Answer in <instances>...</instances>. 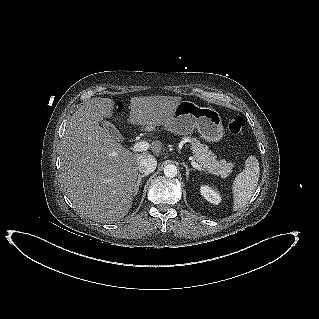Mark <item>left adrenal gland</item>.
I'll return each instance as SVG.
<instances>
[{"mask_svg": "<svg viewBox=\"0 0 319 319\" xmlns=\"http://www.w3.org/2000/svg\"><path fill=\"white\" fill-rule=\"evenodd\" d=\"M183 166H184L185 169H186V180L188 181V179H189V173L192 172V171H194L195 169L189 168L185 163H183Z\"/></svg>", "mask_w": 319, "mask_h": 319, "instance_id": "left-adrenal-gland-1", "label": "left adrenal gland"}]
</instances>
